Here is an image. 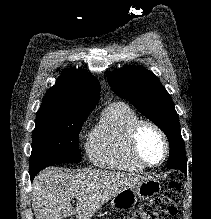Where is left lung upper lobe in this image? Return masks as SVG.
<instances>
[{
    "label": "left lung upper lobe",
    "instance_id": "obj_1",
    "mask_svg": "<svg viewBox=\"0 0 211 219\" xmlns=\"http://www.w3.org/2000/svg\"><path fill=\"white\" fill-rule=\"evenodd\" d=\"M107 80L119 97L131 102L166 134L170 150L179 152L186 162L178 114L159 79L149 70L128 66L109 73Z\"/></svg>",
    "mask_w": 211,
    "mask_h": 219
}]
</instances>
